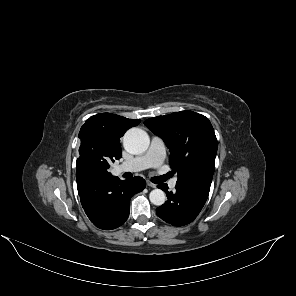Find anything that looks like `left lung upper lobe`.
Masks as SVG:
<instances>
[{
  "label": "left lung upper lobe",
  "mask_w": 296,
  "mask_h": 296,
  "mask_svg": "<svg viewBox=\"0 0 296 296\" xmlns=\"http://www.w3.org/2000/svg\"><path fill=\"white\" fill-rule=\"evenodd\" d=\"M144 124L169 148V163L178 174L176 185L211 186L217 139L207 117L180 111L150 118Z\"/></svg>",
  "instance_id": "left-lung-upper-lobe-1"
}]
</instances>
